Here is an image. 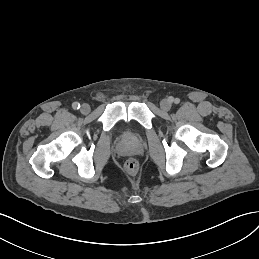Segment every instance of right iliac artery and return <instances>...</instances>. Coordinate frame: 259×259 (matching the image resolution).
Wrapping results in <instances>:
<instances>
[{"instance_id": "obj_1", "label": "right iliac artery", "mask_w": 259, "mask_h": 259, "mask_svg": "<svg viewBox=\"0 0 259 259\" xmlns=\"http://www.w3.org/2000/svg\"><path fill=\"white\" fill-rule=\"evenodd\" d=\"M72 107H73V109H79L80 108V104L78 103V102H74L73 104H72Z\"/></svg>"}]
</instances>
